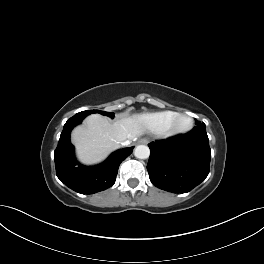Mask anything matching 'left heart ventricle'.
I'll list each match as a JSON object with an SVG mask.
<instances>
[{"instance_id":"obj_1","label":"left heart ventricle","mask_w":264,"mask_h":264,"mask_svg":"<svg viewBox=\"0 0 264 264\" xmlns=\"http://www.w3.org/2000/svg\"><path fill=\"white\" fill-rule=\"evenodd\" d=\"M187 123H188V121H187L185 118H181V119H179L178 122H177V124H178L179 126H181V127L187 125Z\"/></svg>"}]
</instances>
